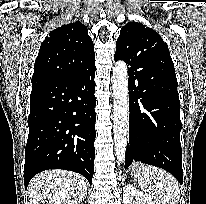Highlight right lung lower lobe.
<instances>
[{"label": "right lung lower lobe", "mask_w": 206, "mask_h": 204, "mask_svg": "<svg viewBox=\"0 0 206 204\" xmlns=\"http://www.w3.org/2000/svg\"><path fill=\"white\" fill-rule=\"evenodd\" d=\"M95 64L64 80L32 88L25 148V187L37 173L66 169L91 184L95 147Z\"/></svg>", "instance_id": "right-lung-lower-lobe-1"}]
</instances>
